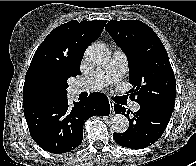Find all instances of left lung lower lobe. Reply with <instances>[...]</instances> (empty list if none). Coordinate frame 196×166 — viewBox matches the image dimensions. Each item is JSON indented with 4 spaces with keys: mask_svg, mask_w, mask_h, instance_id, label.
<instances>
[{
    "mask_svg": "<svg viewBox=\"0 0 196 166\" xmlns=\"http://www.w3.org/2000/svg\"><path fill=\"white\" fill-rule=\"evenodd\" d=\"M115 113H126V109L119 104H114ZM130 111H127L129 119V128L124 133H114V140L122 147L131 149H143L155 141L163 134L172 112L165 109L140 105V110L132 113L133 117L129 118Z\"/></svg>",
    "mask_w": 196,
    "mask_h": 166,
    "instance_id": "left-lung-lower-lobe-1",
    "label": "left lung lower lobe"
}]
</instances>
